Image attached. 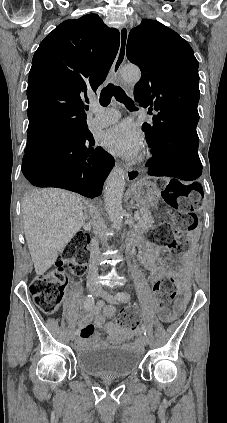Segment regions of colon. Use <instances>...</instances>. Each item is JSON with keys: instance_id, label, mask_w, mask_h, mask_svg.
Instances as JSON below:
<instances>
[{"instance_id": "1", "label": "colon", "mask_w": 227, "mask_h": 423, "mask_svg": "<svg viewBox=\"0 0 227 423\" xmlns=\"http://www.w3.org/2000/svg\"><path fill=\"white\" fill-rule=\"evenodd\" d=\"M161 187L163 199L174 212L170 218L171 222L164 221L150 230L148 236L155 244L166 247L171 252H177L187 245L182 233L197 227L196 211L200 206L201 189L197 183L180 182L164 183ZM88 244L87 233H76L64 247L55 265L31 282L29 291L43 313H55L63 301L67 283L66 266H69L75 275H82L85 272ZM154 293L159 309H168L177 294L174 278L167 276L157 281L154 284ZM117 324L122 329L134 330L138 324L135 309L124 310L119 315Z\"/></svg>"}]
</instances>
